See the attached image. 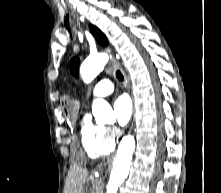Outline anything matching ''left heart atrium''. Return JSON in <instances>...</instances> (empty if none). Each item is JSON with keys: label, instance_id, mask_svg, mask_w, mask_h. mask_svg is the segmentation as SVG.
I'll list each match as a JSON object with an SVG mask.
<instances>
[{"label": "left heart atrium", "instance_id": "39dd6f15", "mask_svg": "<svg viewBox=\"0 0 221 193\" xmlns=\"http://www.w3.org/2000/svg\"><path fill=\"white\" fill-rule=\"evenodd\" d=\"M113 109L118 124L125 126L129 122L133 112L130 98L125 94L118 96L113 102Z\"/></svg>", "mask_w": 221, "mask_h": 193}]
</instances>
